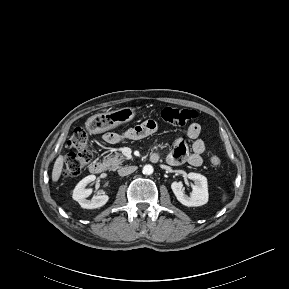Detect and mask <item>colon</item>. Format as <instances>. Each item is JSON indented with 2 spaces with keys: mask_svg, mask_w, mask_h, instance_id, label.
<instances>
[{
  "mask_svg": "<svg viewBox=\"0 0 289 289\" xmlns=\"http://www.w3.org/2000/svg\"><path fill=\"white\" fill-rule=\"evenodd\" d=\"M160 117L170 125L183 126L194 120L197 117V112L190 109L165 107L160 111ZM68 147L75 151L71 152L65 161L63 176L67 179L80 175L91 160L85 129L78 127L72 131L68 140ZM210 162L217 167L221 164V159L219 156L212 154Z\"/></svg>",
  "mask_w": 289,
  "mask_h": 289,
  "instance_id": "1",
  "label": "colon"
}]
</instances>
